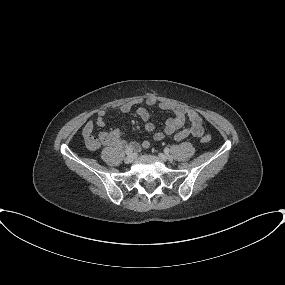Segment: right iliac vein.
<instances>
[{
  "mask_svg": "<svg viewBox=\"0 0 285 285\" xmlns=\"http://www.w3.org/2000/svg\"><path fill=\"white\" fill-rule=\"evenodd\" d=\"M134 159H135V154L131 153L125 157L124 162L126 164H129V163H132L134 161Z\"/></svg>",
  "mask_w": 285,
  "mask_h": 285,
  "instance_id": "right-iliac-vein-1",
  "label": "right iliac vein"
}]
</instances>
